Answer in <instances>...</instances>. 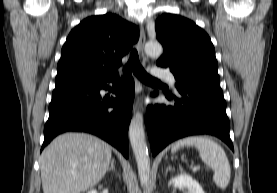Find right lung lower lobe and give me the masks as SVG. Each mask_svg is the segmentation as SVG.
<instances>
[{"label": "right lung lower lobe", "instance_id": "1", "mask_svg": "<svg viewBox=\"0 0 277 193\" xmlns=\"http://www.w3.org/2000/svg\"><path fill=\"white\" fill-rule=\"evenodd\" d=\"M55 88L49 105V119L44 127L41 150L58 134L83 131L99 136L116 147L126 158L129 155L128 127L135 95L134 81L127 77L113 91L116 98H102L99 91L110 89L107 82Z\"/></svg>", "mask_w": 277, "mask_h": 193}]
</instances>
